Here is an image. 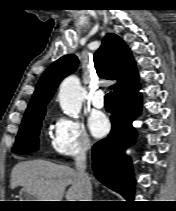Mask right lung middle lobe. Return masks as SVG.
Here are the masks:
<instances>
[{
	"label": "right lung middle lobe",
	"mask_w": 176,
	"mask_h": 211,
	"mask_svg": "<svg viewBox=\"0 0 176 211\" xmlns=\"http://www.w3.org/2000/svg\"><path fill=\"white\" fill-rule=\"evenodd\" d=\"M44 115L45 111H41L23 118L13 152L25 154L38 150V135Z\"/></svg>",
	"instance_id": "right-lung-middle-lobe-1"
}]
</instances>
